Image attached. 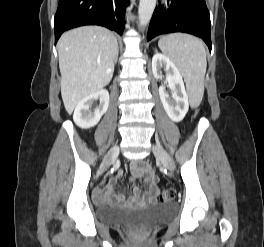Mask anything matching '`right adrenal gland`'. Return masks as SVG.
<instances>
[{"label":"right adrenal gland","instance_id":"2a0ac1e0","mask_svg":"<svg viewBox=\"0 0 264 247\" xmlns=\"http://www.w3.org/2000/svg\"><path fill=\"white\" fill-rule=\"evenodd\" d=\"M117 60H118V55H117L116 58H115V64L117 63Z\"/></svg>","mask_w":264,"mask_h":247}]
</instances>
